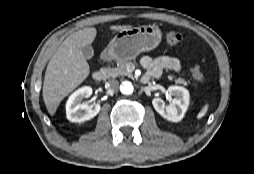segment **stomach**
<instances>
[{"label":"stomach","mask_w":254,"mask_h":174,"mask_svg":"<svg viewBox=\"0 0 254 174\" xmlns=\"http://www.w3.org/2000/svg\"><path fill=\"white\" fill-rule=\"evenodd\" d=\"M161 39V30L155 25L125 29L109 42L102 55L107 60H131L143 51L156 48Z\"/></svg>","instance_id":"0dacf381"}]
</instances>
